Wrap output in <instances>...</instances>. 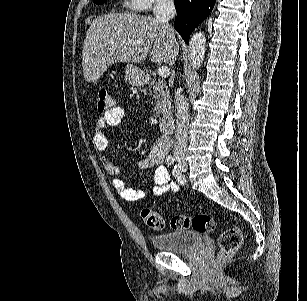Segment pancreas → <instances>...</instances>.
Instances as JSON below:
<instances>
[{
    "instance_id": "1",
    "label": "pancreas",
    "mask_w": 307,
    "mask_h": 301,
    "mask_svg": "<svg viewBox=\"0 0 307 301\" xmlns=\"http://www.w3.org/2000/svg\"><path fill=\"white\" fill-rule=\"evenodd\" d=\"M146 88L153 94L155 116H160L162 112H170L169 108H171L172 102L170 90L166 82H162V80H151Z\"/></svg>"
}]
</instances>
